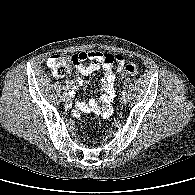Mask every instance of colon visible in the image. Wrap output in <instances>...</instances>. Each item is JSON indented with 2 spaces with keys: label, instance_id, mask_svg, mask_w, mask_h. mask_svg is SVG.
I'll return each mask as SVG.
<instances>
[{
  "label": "colon",
  "instance_id": "obj_1",
  "mask_svg": "<svg viewBox=\"0 0 195 195\" xmlns=\"http://www.w3.org/2000/svg\"><path fill=\"white\" fill-rule=\"evenodd\" d=\"M48 66L57 77H64L70 71L72 58L64 54H54L48 59ZM137 68L134 64H127L124 67L125 76H136Z\"/></svg>",
  "mask_w": 195,
  "mask_h": 195
}]
</instances>
